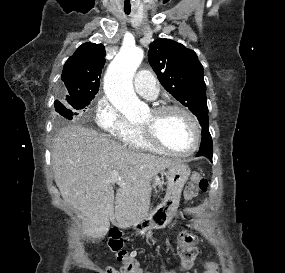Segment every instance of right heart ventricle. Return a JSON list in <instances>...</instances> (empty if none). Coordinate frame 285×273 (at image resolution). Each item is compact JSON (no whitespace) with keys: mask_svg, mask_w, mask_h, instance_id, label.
I'll return each mask as SVG.
<instances>
[{"mask_svg":"<svg viewBox=\"0 0 285 273\" xmlns=\"http://www.w3.org/2000/svg\"><path fill=\"white\" fill-rule=\"evenodd\" d=\"M123 144L134 150L142 151H157L156 148L151 146L143 137L141 130L138 126H134L132 131L125 134L120 138Z\"/></svg>","mask_w":285,"mask_h":273,"instance_id":"1","label":"right heart ventricle"}]
</instances>
